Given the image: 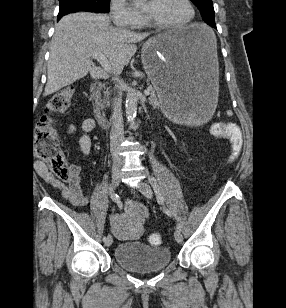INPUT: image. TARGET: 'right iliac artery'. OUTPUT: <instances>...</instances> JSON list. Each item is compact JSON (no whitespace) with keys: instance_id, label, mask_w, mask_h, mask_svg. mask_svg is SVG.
Returning <instances> with one entry per match:
<instances>
[{"instance_id":"right-iliac-artery-1","label":"right iliac artery","mask_w":286,"mask_h":308,"mask_svg":"<svg viewBox=\"0 0 286 308\" xmlns=\"http://www.w3.org/2000/svg\"><path fill=\"white\" fill-rule=\"evenodd\" d=\"M109 193L114 202H116V205H118V210H123V203H121V200H119L118 195L114 193L112 186L109 187ZM106 240V236L103 237V241Z\"/></svg>"}]
</instances>
